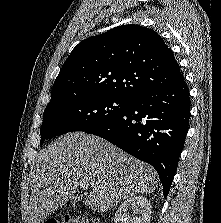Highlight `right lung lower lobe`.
Masks as SVG:
<instances>
[{
	"label": "right lung lower lobe",
	"instance_id": "obj_1",
	"mask_svg": "<svg viewBox=\"0 0 221 223\" xmlns=\"http://www.w3.org/2000/svg\"><path fill=\"white\" fill-rule=\"evenodd\" d=\"M189 117V88L183 78L174 85L135 97L122 113L85 132L152 165L166 198L184 146Z\"/></svg>",
	"mask_w": 221,
	"mask_h": 223
}]
</instances>
